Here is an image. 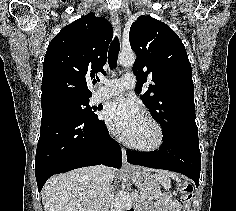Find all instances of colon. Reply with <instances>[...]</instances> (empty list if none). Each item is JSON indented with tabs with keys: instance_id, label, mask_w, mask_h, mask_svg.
<instances>
[{
	"instance_id": "obj_1",
	"label": "colon",
	"mask_w": 236,
	"mask_h": 211,
	"mask_svg": "<svg viewBox=\"0 0 236 211\" xmlns=\"http://www.w3.org/2000/svg\"><path fill=\"white\" fill-rule=\"evenodd\" d=\"M177 189L181 194V201L184 204L183 211H189V204L193 198V185L189 182L182 181L178 183Z\"/></svg>"
}]
</instances>
